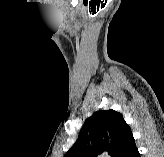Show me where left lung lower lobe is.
I'll return each mask as SVG.
<instances>
[{
	"label": "left lung lower lobe",
	"instance_id": "obj_1",
	"mask_svg": "<svg viewBox=\"0 0 164 157\" xmlns=\"http://www.w3.org/2000/svg\"><path fill=\"white\" fill-rule=\"evenodd\" d=\"M115 157H140L133 136L119 149Z\"/></svg>",
	"mask_w": 164,
	"mask_h": 157
}]
</instances>
